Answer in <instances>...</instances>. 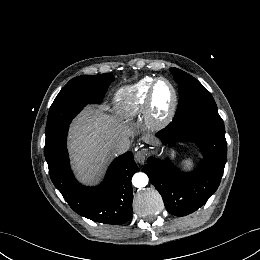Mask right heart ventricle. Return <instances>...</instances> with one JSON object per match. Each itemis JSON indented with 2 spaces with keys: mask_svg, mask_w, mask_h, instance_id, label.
<instances>
[{
  "mask_svg": "<svg viewBox=\"0 0 260 260\" xmlns=\"http://www.w3.org/2000/svg\"><path fill=\"white\" fill-rule=\"evenodd\" d=\"M155 79L144 77L132 85L120 88L114 96L116 110L126 119L140 115L144 111L148 91Z\"/></svg>",
  "mask_w": 260,
  "mask_h": 260,
  "instance_id": "right-heart-ventricle-1",
  "label": "right heart ventricle"
}]
</instances>
